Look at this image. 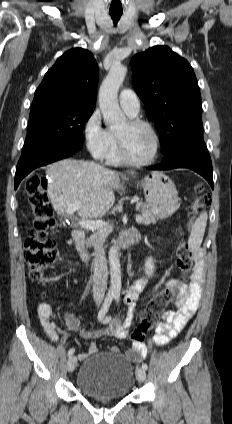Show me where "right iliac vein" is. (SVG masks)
<instances>
[{
  "label": "right iliac vein",
  "instance_id": "right-iliac-vein-1",
  "mask_svg": "<svg viewBox=\"0 0 232 424\" xmlns=\"http://www.w3.org/2000/svg\"><path fill=\"white\" fill-rule=\"evenodd\" d=\"M77 366V358L76 356H70L67 363V368L69 372H73Z\"/></svg>",
  "mask_w": 232,
  "mask_h": 424
}]
</instances>
